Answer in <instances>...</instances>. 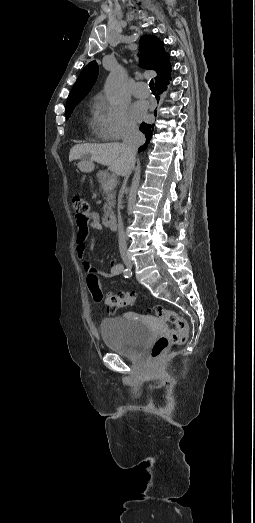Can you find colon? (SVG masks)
I'll list each match as a JSON object with an SVG mask.
<instances>
[{
  "label": "colon",
  "instance_id": "1",
  "mask_svg": "<svg viewBox=\"0 0 255 523\" xmlns=\"http://www.w3.org/2000/svg\"><path fill=\"white\" fill-rule=\"evenodd\" d=\"M72 206L76 214L77 222L79 224H85L90 210L88 202L83 197L75 196L72 199ZM87 285L93 299L96 302H104L110 311H115L135 303V297L133 295L122 293L104 295L99 285L98 277L95 274H89L87 276ZM152 310L158 319L171 326V328H168L159 335L151 347V356L158 358L170 345L183 344L188 338L189 329L185 319L178 313L159 305L154 306Z\"/></svg>",
  "mask_w": 255,
  "mask_h": 523
}]
</instances>
